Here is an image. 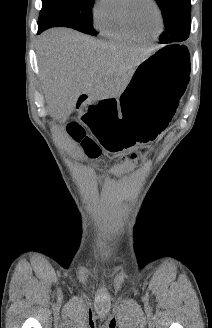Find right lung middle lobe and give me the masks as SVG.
<instances>
[{
    "label": "right lung middle lobe",
    "mask_w": 212,
    "mask_h": 328,
    "mask_svg": "<svg viewBox=\"0 0 212 328\" xmlns=\"http://www.w3.org/2000/svg\"><path fill=\"white\" fill-rule=\"evenodd\" d=\"M95 0H42L38 26L74 28L90 35H97L92 25V5Z\"/></svg>",
    "instance_id": "right-lung-middle-lobe-1"
}]
</instances>
